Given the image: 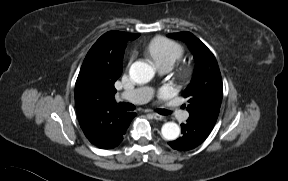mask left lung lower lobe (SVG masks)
<instances>
[{"label":"left lung lower lobe","instance_id":"1","mask_svg":"<svg viewBox=\"0 0 288 181\" xmlns=\"http://www.w3.org/2000/svg\"><path fill=\"white\" fill-rule=\"evenodd\" d=\"M213 127L194 119H188L185 124L181 125L182 136L168 144L179 151L194 149L207 138Z\"/></svg>","mask_w":288,"mask_h":181}]
</instances>
